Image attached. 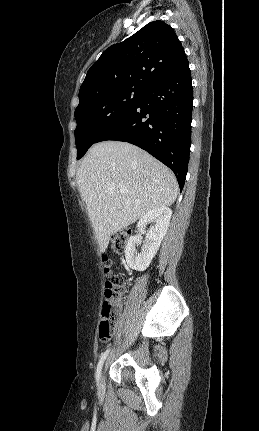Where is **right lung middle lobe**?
<instances>
[{
	"label": "right lung middle lobe",
	"mask_w": 259,
	"mask_h": 431,
	"mask_svg": "<svg viewBox=\"0 0 259 431\" xmlns=\"http://www.w3.org/2000/svg\"><path fill=\"white\" fill-rule=\"evenodd\" d=\"M145 91L123 87L90 96L80 102L75 110L77 159L82 158L102 134L131 110Z\"/></svg>",
	"instance_id": "right-lung-middle-lobe-1"
}]
</instances>
